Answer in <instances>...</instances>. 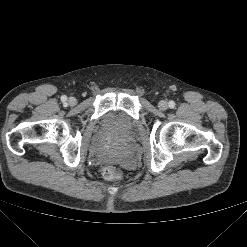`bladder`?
Here are the masks:
<instances>
[{
	"mask_svg": "<svg viewBox=\"0 0 247 247\" xmlns=\"http://www.w3.org/2000/svg\"><path fill=\"white\" fill-rule=\"evenodd\" d=\"M103 128L107 131H114L123 135H130L135 124L131 117L122 111H108L102 118Z\"/></svg>",
	"mask_w": 247,
	"mask_h": 247,
	"instance_id": "obj_1",
	"label": "bladder"
}]
</instances>
